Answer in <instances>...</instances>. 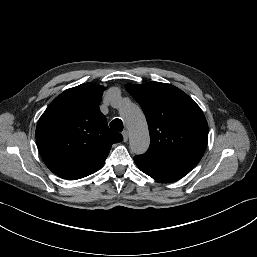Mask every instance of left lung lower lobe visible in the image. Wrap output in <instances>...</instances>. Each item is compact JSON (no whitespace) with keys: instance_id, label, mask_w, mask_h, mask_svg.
<instances>
[{"instance_id":"left-lung-lower-lobe-1","label":"left lung lower lobe","mask_w":257,"mask_h":257,"mask_svg":"<svg viewBox=\"0 0 257 257\" xmlns=\"http://www.w3.org/2000/svg\"><path fill=\"white\" fill-rule=\"evenodd\" d=\"M138 168L153 179L162 182H173L181 179L193 169V165L161 166L143 162L134 158Z\"/></svg>"}]
</instances>
